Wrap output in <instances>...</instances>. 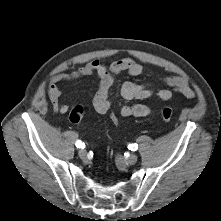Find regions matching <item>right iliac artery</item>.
<instances>
[{"label": "right iliac artery", "instance_id": "82829eb1", "mask_svg": "<svg viewBox=\"0 0 221 221\" xmlns=\"http://www.w3.org/2000/svg\"><path fill=\"white\" fill-rule=\"evenodd\" d=\"M75 145L77 148H84L85 147V144L83 142H81L80 140H78Z\"/></svg>", "mask_w": 221, "mask_h": 221}]
</instances>
